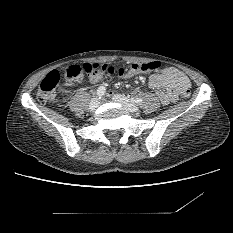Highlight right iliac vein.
<instances>
[{
	"instance_id": "63e3f726",
	"label": "right iliac vein",
	"mask_w": 233,
	"mask_h": 233,
	"mask_svg": "<svg viewBox=\"0 0 233 233\" xmlns=\"http://www.w3.org/2000/svg\"><path fill=\"white\" fill-rule=\"evenodd\" d=\"M100 101L97 98H93L89 103V109L91 111L96 110L99 107Z\"/></svg>"
}]
</instances>
